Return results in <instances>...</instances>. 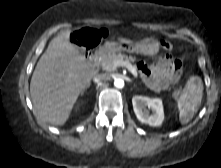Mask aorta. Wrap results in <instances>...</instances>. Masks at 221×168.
<instances>
[{
    "label": "aorta",
    "instance_id": "762f6f07",
    "mask_svg": "<svg viewBox=\"0 0 221 168\" xmlns=\"http://www.w3.org/2000/svg\"><path fill=\"white\" fill-rule=\"evenodd\" d=\"M114 86L119 89L123 88L124 87V80L121 78H116L114 80Z\"/></svg>",
    "mask_w": 221,
    "mask_h": 168
}]
</instances>
